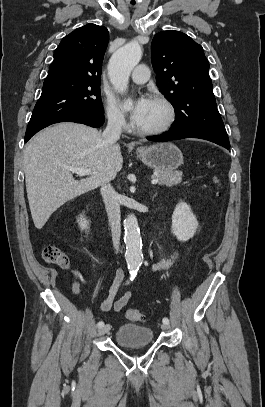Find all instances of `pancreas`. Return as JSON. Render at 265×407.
I'll list each match as a JSON object with an SVG mask.
<instances>
[{"mask_svg": "<svg viewBox=\"0 0 265 407\" xmlns=\"http://www.w3.org/2000/svg\"><path fill=\"white\" fill-rule=\"evenodd\" d=\"M153 178L158 179L160 185L166 186L177 185L182 181V172L158 171L156 175H153Z\"/></svg>", "mask_w": 265, "mask_h": 407, "instance_id": "pancreas-1", "label": "pancreas"}]
</instances>
